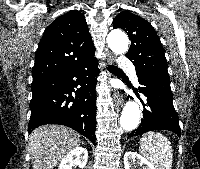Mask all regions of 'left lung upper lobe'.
I'll return each mask as SVG.
<instances>
[{
	"instance_id": "obj_1",
	"label": "left lung upper lobe",
	"mask_w": 200,
	"mask_h": 169,
	"mask_svg": "<svg viewBox=\"0 0 200 169\" xmlns=\"http://www.w3.org/2000/svg\"><path fill=\"white\" fill-rule=\"evenodd\" d=\"M113 28L127 32L131 47L126 56L134 64L136 74L170 82L162 44L148 21L123 11L113 20Z\"/></svg>"
}]
</instances>
